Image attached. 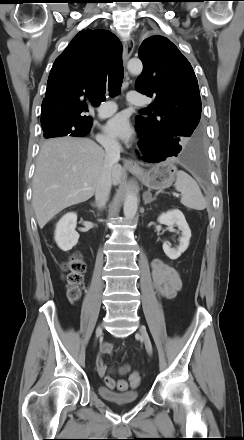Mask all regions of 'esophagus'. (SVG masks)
Wrapping results in <instances>:
<instances>
[{
	"mask_svg": "<svg viewBox=\"0 0 244 440\" xmlns=\"http://www.w3.org/2000/svg\"><path fill=\"white\" fill-rule=\"evenodd\" d=\"M135 47L134 40L129 37L123 41V63L126 65ZM124 165L128 168L139 169V165L132 159L124 160Z\"/></svg>",
	"mask_w": 244,
	"mask_h": 440,
	"instance_id": "1",
	"label": "esophagus"
}]
</instances>
